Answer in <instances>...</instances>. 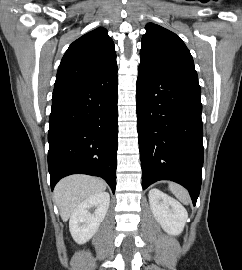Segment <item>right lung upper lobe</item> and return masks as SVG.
<instances>
[{"label": "right lung upper lobe", "mask_w": 242, "mask_h": 270, "mask_svg": "<svg viewBox=\"0 0 242 270\" xmlns=\"http://www.w3.org/2000/svg\"><path fill=\"white\" fill-rule=\"evenodd\" d=\"M116 65L114 43L108 31L96 28L74 41L65 52L53 94L82 84Z\"/></svg>", "instance_id": "cb5924a9"}]
</instances>
